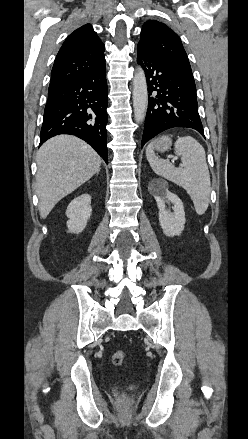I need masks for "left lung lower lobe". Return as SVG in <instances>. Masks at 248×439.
Segmentation results:
<instances>
[{"label": "left lung lower lobe", "instance_id": "0a47b994", "mask_svg": "<svg viewBox=\"0 0 248 439\" xmlns=\"http://www.w3.org/2000/svg\"><path fill=\"white\" fill-rule=\"evenodd\" d=\"M137 62L145 71L149 93L141 147L162 131L175 127L193 128L204 136L192 71L140 46Z\"/></svg>", "mask_w": 248, "mask_h": 439}]
</instances>
